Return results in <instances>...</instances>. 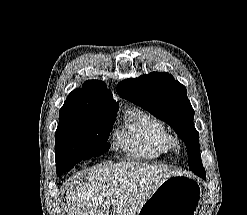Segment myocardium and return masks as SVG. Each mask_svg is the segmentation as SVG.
I'll use <instances>...</instances> for the list:
<instances>
[{"mask_svg":"<svg viewBox=\"0 0 247 215\" xmlns=\"http://www.w3.org/2000/svg\"><path fill=\"white\" fill-rule=\"evenodd\" d=\"M168 146L170 149H178L180 147V140L176 135L168 136Z\"/></svg>","mask_w":247,"mask_h":215,"instance_id":"f54148a6","label":"myocardium"}]
</instances>
